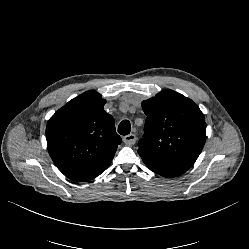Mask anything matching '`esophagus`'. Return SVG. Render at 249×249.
<instances>
[{"label":"esophagus","instance_id":"esophagus-1","mask_svg":"<svg viewBox=\"0 0 249 249\" xmlns=\"http://www.w3.org/2000/svg\"><path fill=\"white\" fill-rule=\"evenodd\" d=\"M137 137L135 134H128L126 136L123 137V142L128 145V146H132L136 143Z\"/></svg>","mask_w":249,"mask_h":249}]
</instances>
